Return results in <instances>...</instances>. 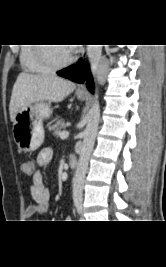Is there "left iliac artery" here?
<instances>
[{
    "mask_svg": "<svg viewBox=\"0 0 166 267\" xmlns=\"http://www.w3.org/2000/svg\"><path fill=\"white\" fill-rule=\"evenodd\" d=\"M76 207H77L78 213L80 214L82 212V204L81 203H77Z\"/></svg>",
    "mask_w": 166,
    "mask_h": 267,
    "instance_id": "obj_1",
    "label": "left iliac artery"
}]
</instances>
